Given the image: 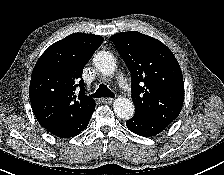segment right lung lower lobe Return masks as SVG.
Wrapping results in <instances>:
<instances>
[{
  "label": "right lung lower lobe",
  "mask_w": 224,
  "mask_h": 175,
  "mask_svg": "<svg viewBox=\"0 0 224 175\" xmlns=\"http://www.w3.org/2000/svg\"><path fill=\"white\" fill-rule=\"evenodd\" d=\"M94 110L95 107L83 116L72 118L48 131L60 138L73 137L87 127Z\"/></svg>",
  "instance_id": "right-lung-lower-lobe-1"
}]
</instances>
